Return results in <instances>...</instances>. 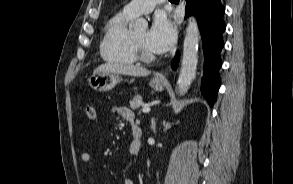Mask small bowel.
Returning <instances> with one entry per match:
<instances>
[{
	"label": "small bowel",
	"mask_w": 293,
	"mask_h": 184,
	"mask_svg": "<svg viewBox=\"0 0 293 184\" xmlns=\"http://www.w3.org/2000/svg\"><path fill=\"white\" fill-rule=\"evenodd\" d=\"M113 112L118 114L121 118L129 122H133L135 119V115L133 111L126 106H115L113 108ZM138 151L139 150L137 149V146L133 139L129 146V152L131 155H136ZM80 160L84 165L88 166L91 163V155L88 152H83L80 155ZM124 184H135V182L130 178H125Z\"/></svg>",
	"instance_id": "obj_1"
}]
</instances>
